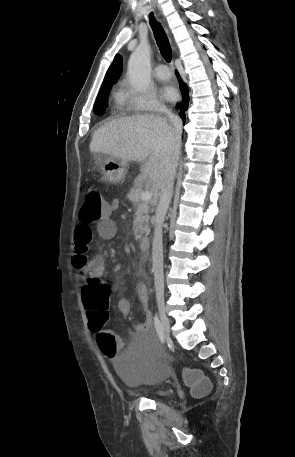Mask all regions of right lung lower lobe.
<instances>
[{"instance_id": "1", "label": "right lung lower lobe", "mask_w": 295, "mask_h": 457, "mask_svg": "<svg viewBox=\"0 0 295 457\" xmlns=\"http://www.w3.org/2000/svg\"><path fill=\"white\" fill-rule=\"evenodd\" d=\"M177 76H178V74H177ZM178 78H179V76H178ZM179 80L181 81L180 78H179ZM180 89L182 92L183 100L177 104V107L180 109L179 115L181 116V118L184 121L185 112L188 109V105H189V94H188V89H187L186 85L182 81L180 83Z\"/></svg>"}]
</instances>
